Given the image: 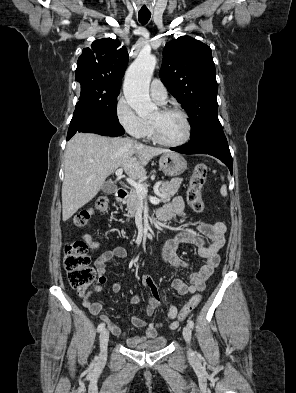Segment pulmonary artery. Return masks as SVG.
Returning <instances> with one entry per match:
<instances>
[{
  "instance_id": "obj_1",
  "label": "pulmonary artery",
  "mask_w": 296,
  "mask_h": 393,
  "mask_svg": "<svg viewBox=\"0 0 296 393\" xmlns=\"http://www.w3.org/2000/svg\"><path fill=\"white\" fill-rule=\"evenodd\" d=\"M150 95L158 104H164L167 99V90L159 79H154L150 85Z\"/></svg>"
}]
</instances>
